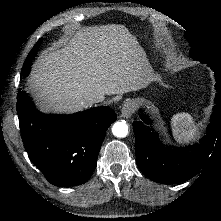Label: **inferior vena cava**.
<instances>
[{"label":"inferior vena cava","instance_id":"inferior-vena-cava-1","mask_svg":"<svg viewBox=\"0 0 221 221\" xmlns=\"http://www.w3.org/2000/svg\"><path fill=\"white\" fill-rule=\"evenodd\" d=\"M86 100L90 104L99 103L104 100V96L100 94H95V95L89 96Z\"/></svg>","mask_w":221,"mask_h":221}]
</instances>
